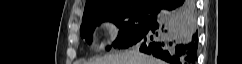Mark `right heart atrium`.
I'll return each mask as SVG.
<instances>
[{
    "mask_svg": "<svg viewBox=\"0 0 242 64\" xmlns=\"http://www.w3.org/2000/svg\"><path fill=\"white\" fill-rule=\"evenodd\" d=\"M104 27L106 30L107 37L110 40H115L120 34V26L118 22L113 18H108L104 21Z\"/></svg>",
    "mask_w": 242,
    "mask_h": 64,
    "instance_id": "d8ad5b80",
    "label": "right heart atrium"
}]
</instances>
